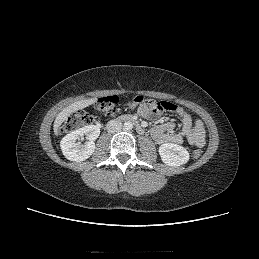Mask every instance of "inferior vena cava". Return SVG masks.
<instances>
[{
  "label": "inferior vena cava",
  "mask_w": 259,
  "mask_h": 259,
  "mask_svg": "<svg viewBox=\"0 0 259 259\" xmlns=\"http://www.w3.org/2000/svg\"><path fill=\"white\" fill-rule=\"evenodd\" d=\"M106 129L108 133H117L122 129V123L117 119L111 120L107 123Z\"/></svg>",
  "instance_id": "1"
}]
</instances>
